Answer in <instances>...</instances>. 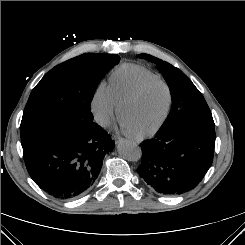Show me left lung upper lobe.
<instances>
[{"instance_id": "1", "label": "left lung upper lobe", "mask_w": 245, "mask_h": 245, "mask_svg": "<svg viewBox=\"0 0 245 245\" xmlns=\"http://www.w3.org/2000/svg\"><path fill=\"white\" fill-rule=\"evenodd\" d=\"M138 57L155 63L170 89L172 107L161 130L182 119H194L214 126L211 111L203 95L181 70L148 54H139Z\"/></svg>"}]
</instances>
